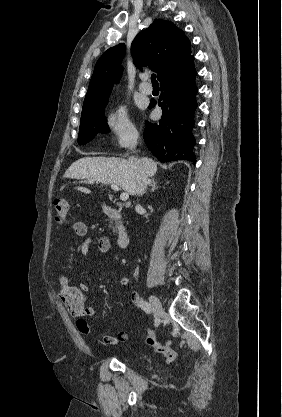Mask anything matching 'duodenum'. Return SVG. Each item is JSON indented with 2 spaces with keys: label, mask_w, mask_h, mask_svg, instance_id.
I'll list each match as a JSON object with an SVG mask.
<instances>
[{
  "label": "duodenum",
  "mask_w": 282,
  "mask_h": 417,
  "mask_svg": "<svg viewBox=\"0 0 282 417\" xmlns=\"http://www.w3.org/2000/svg\"><path fill=\"white\" fill-rule=\"evenodd\" d=\"M103 210L105 215L113 220L119 221L122 218L120 211L114 207L104 205ZM129 238L128 231L120 226L117 230V242L121 249H127Z\"/></svg>",
  "instance_id": "410a0bca"
}]
</instances>
